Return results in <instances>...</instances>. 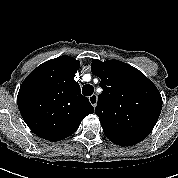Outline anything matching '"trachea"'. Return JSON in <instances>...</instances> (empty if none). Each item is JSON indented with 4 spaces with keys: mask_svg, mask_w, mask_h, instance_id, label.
Returning <instances> with one entry per match:
<instances>
[{
    "mask_svg": "<svg viewBox=\"0 0 178 178\" xmlns=\"http://www.w3.org/2000/svg\"><path fill=\"white\" fill-rule=\"evenodd\" d=\"M94 92V87L90 84H86L82 87V94L85 96H91Z\"/></svg>",
    "mask_w": 178,
    "mask_h": 178,
    "instance_id": "trachea-1",
    "label": "trachea"
}]
</instances>
